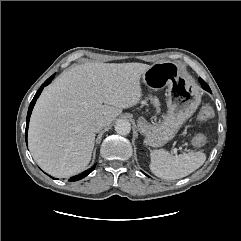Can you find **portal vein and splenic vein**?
<instances>
[{"mask_svg": "<svg viewBox=\"0 0 241 241\" xmlns=\"http://www.w3.org/2000/svg\"><path fill=\"white\" fill-rule=\"evenodd\" d=\"M177 151H178V149H177V148H174V149H172L171 153H172V154H177Z\"/></svg>", "mask_w": 241, "mask_h": 241, "instance_id": "portal-vein-and-splenic-vein-1", "label": "portal vein and splenic vein"}]
</instances>
